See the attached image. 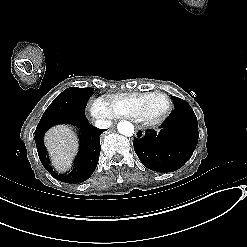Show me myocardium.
<instances>
[{"instance_id": "myocardium-1", "label": "myocardium", "mask_w": 247, "mask_h": 247, "mask_svg": "<svg viewBox=\"0 0 247 247\" xmlns=\"http://www.w3.org/2000/svg\"><path fill=\"white\" fill-rule=\"evenodd\" d=\"M160 99L161 103L154 106V102ZM170 98L162 92H152L148 95L146 102L140 107L138 112L146 126L155 125L161 122L169 112Z\"/></svg>"}]
</instances>
